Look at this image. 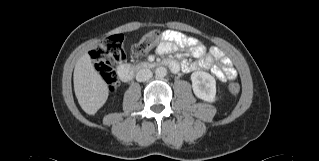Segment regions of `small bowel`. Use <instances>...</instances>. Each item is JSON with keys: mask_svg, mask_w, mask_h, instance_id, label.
Segmentation results:
<instances>
[{"mask_svg": "<svg viewBox=\"0 0 319 161\" xmlns=\"http://www.w3.org/2000/svg\"><path fill=\"white\" fill-rule=\"evenodd\" d=\"M188 47L190 54L196 61L183 60L181 68L190 73L199 69H210L215 77L226 82L237 76V71L231 60L217 47H211L207 52L205 46L197 39L181 32L167 30L162 34V42L157 47L158 54H168L177 49V46Z\"/></svg>", "mask_w": 319, "mask_h": 161, "instance_id": "c3829d8e", "label": "small bowel"}]
</instances>
